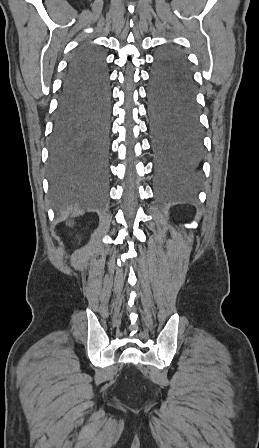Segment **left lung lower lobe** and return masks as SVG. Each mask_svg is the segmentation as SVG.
Listing matches in <instances>:
<instances>
[{
    "label": "left lung lower lobe",
    "mask_w": 259,
    "mask_h": 448,
    "mask_svg": "<svg viewBox=\"0 0 259 448\" xmlns=\"http://www.w3.org/2000/svg\"><path fill=\"white\" fill-rule=\"evenodd\" d=\"M151 150L159 183L190 188L199 178L203 134L190 65L175 49L155 58L148 85Z\"/></svg>",
    "instance_id": "0a47b994"
}]
</instances>
